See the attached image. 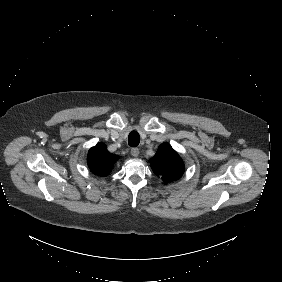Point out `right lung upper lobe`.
Listing matches in <instances>:
<instances>
[{
  "instance_id": "obj_1",
  "label": "right lung upper lobe",
  "mask_w": 282,
  "mask_h": 282,
  "mask_svg": "<svg viewBox=\"0 0 282 282\" xmlns=\"http://www.w3.org/2000/svg\"><path fill=\"white\" fill-rule=\"evenodd\" d=\"M119 156L107 151L106 145L98 143L92 147L87 156V163L92 173L98 176H108Z\"/></svg>"
}]
</instances>
